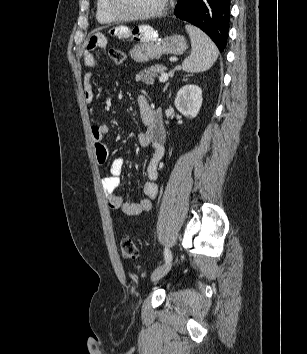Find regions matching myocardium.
Instances as JSON below:
<instances>
[{
    "label": "myocardium",
    "mask_w": 307,
    "mask_h": 354,
    "mask_svg": "<svg viewBox=\"0 0 307 354\" xmlns=\"http://www.w3.org/2000/svg\"><path fill=\"white\" fill-rule=\"evenodd\" d=\"M169 0H161L160 5L153 11L141 14H126L121 12L117 6V0H107V7L110 14L117 20L122 21H138L154 19L161 16L167 8Z\"/></svg>",
    "instance_id": "myocardium-1"
}]
</instances>
